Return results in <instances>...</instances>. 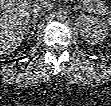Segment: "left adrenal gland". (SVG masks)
<instances>
[{
	"instance_id": "1",
	"label": "left adrenal gland",
	"mask_w": 111,
	"mask_h": 106,
	"mask_svg": "<svg viewBox=\"0 0 111 106\" xmlns=\"http://www.w3.org/2000/svg\"><path fill=\"white\" fill-rule=\"evenodd\" d=\"M70 7V9L72 10V11H74V12H76V10H79V9H81V10H86L84 7H82V6H80V5H75V6H69Z\"/></svg>"
}]
</instances>
